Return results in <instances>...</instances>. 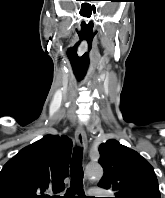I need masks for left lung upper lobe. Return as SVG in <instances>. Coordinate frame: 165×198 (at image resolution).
Masks as SVG:
<instances>
[{
    "label": "left lung upper lobe",
    "instance_id": "1",
    "mask_svg": "<svg viewBox=\"0 0 165 198\" xmlns=\"http://www.w3.org/2000/svg\"><path fill=\"white\" fill-rule=\"evenodd\" d=\"M104 176L98 186L115 198H160L153 167L136 151L110 139L99 146Z\"/></svg>",
    "mask_w": 165,
    "mask_h": 198
}]
</instances>
